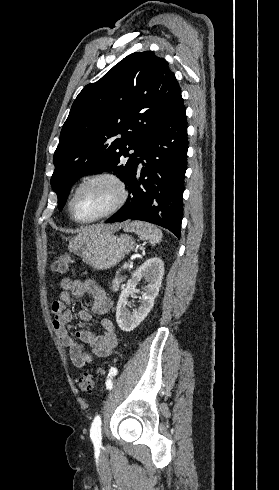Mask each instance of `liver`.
<instances>
[{
	"mask_svg": "<svg viewBox=\"0 0 279 490\" xmlns=\"http://www.w3.org/2000/svg\"><path fill=\"white\" fill-rule=\"evenodd\" d=\"M123 224H113V226H89V228H83L81 234L75 236L74 240L77 244H84L88 240H94L98 236H106V234H114L122 228Z\"/></svg>",
	"mask_w": 279,
	"mask_h": 490,
	"instance_id": "liver-1",
	"label": "liver"
}]
</instances>
